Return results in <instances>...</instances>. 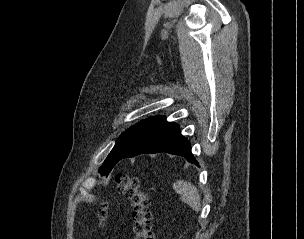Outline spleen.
<instances>
[{
  "label": "spleen",
  "mask_w": 304,
  "mask_h": 239,
  "mask_svg": "<svg viewBox=\"0 0 304 239\" xmlns=\"http://www.w3.org/2000/svg\"><path fill=\"white\" fill-rule=\"evenodd\" d=\"M173 189L180 194L184 203L188 204L194 211H200L201 198L197 188L192 183L179 180L173 184Z\"/></svg>",
  "instance_id": "1"
}]
</instances>
